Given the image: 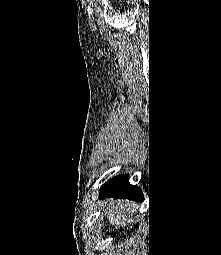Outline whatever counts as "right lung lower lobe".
<instances>
[{
  "instance_id": "obj_1",
  "label": "right lung lower lobe",
  "mask_w": 221,
  "mask_h": 255,
  "mask_svg": "<svg viewBox=\"0 0 221 255\" xmlns=\"http://www.w3.org/2000/svg\"><path fill=\"white\" fill-rule=\"evenodd\" d=\"M128 198L133 200H143L142 190L129 184L128 175H120L105 183L100 189V197Z\"/></svg>"
}]
</instances>
